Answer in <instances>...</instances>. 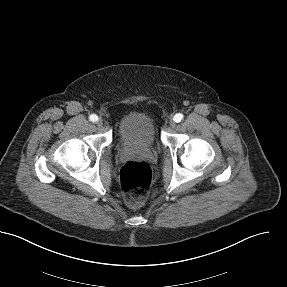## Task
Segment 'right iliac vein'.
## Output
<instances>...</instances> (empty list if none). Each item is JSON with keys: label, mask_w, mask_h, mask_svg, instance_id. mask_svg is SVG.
<instances>
[{"label": "right iliac vein", "mask_w": 287, "mask_h": 287, "mask_svg": "<svg viewBox=\"0 0 287 287\" xmlns=\"http://www.w3.org/2000/svg\"><path fill=\"white\" fill-rule=\"evenodd\" d=\"M97 125H98V126H101V125H102V120H101V119L97 120Z\"/></svg>", "instance_id": "1"}]
</instances>
